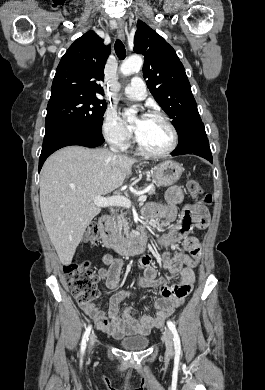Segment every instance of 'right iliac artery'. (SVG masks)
I'll return each instance as SVG.
<instances>
[{
    "label": "right iliac artery",
    "instance_id": "1",
    "mask_svg": "<svg viewBox=\"0 0 265 390\" xmlns=\"http://www.w3.org/2000/svg\"><path fill=\"white\" fill-rule=\"evenodd\" d=\"M91 329H92V326L89 325L87 328H86V331L82 337V341H81V355L84 354V351L86 349V346H87V342H88V338H89V334L91 332Z\"/></svg>",
    "mask_w": 265,
    "mask_h": 390
}]
</instances>
